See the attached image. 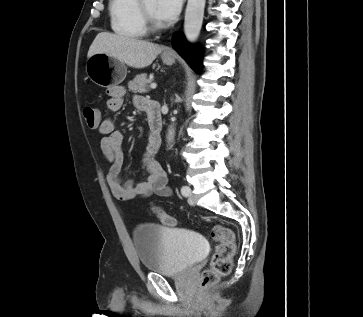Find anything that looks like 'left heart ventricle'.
<instances>
[{"label":"left heart ventricle","instance_id":"b2bd125f","mask_svg":"<svg viewBox=\"0 0 363 317\" xmlns=\"http://www.w3.org/2000/svg\"><path fill=\"white\" fill-rule=\"evenodd\" d=\"M144 5L146 9L149 11V13L152 15V17L161 23L160 19L157 16L156 13V0H144Z\"/></svg>","mask_w":363,"mask_h":317}]
</instances>
